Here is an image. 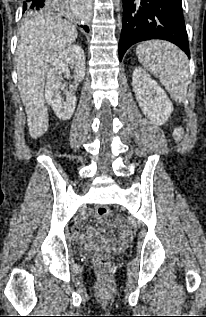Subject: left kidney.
Segmentation results:
<instances>
[{"mask_svg":"<svg viewBox=\"0 0 206 317\" xmlns=\"http://www.w3.org/2000/svg\"><path fill=\"white\" fill-rule=\"evenodd\" d=\"M132 86L142 112L155 124L163 125L173 112L164 90L142 68H135Z\"/></svg>","mask_w":206,"mask_h":317,"instance_id":"1","label":"left kidney"}]
</instances>
